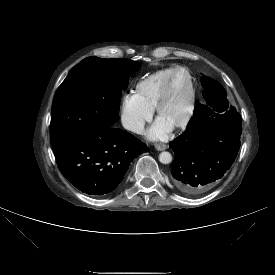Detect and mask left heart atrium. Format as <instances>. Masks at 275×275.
Returning <instances> with one entry per match:
<instances>
[{"label": "left heart atrium", "mask_w": 275, "mask_h": 275, "mask_svg": "<svg viewBox=\"0 0 275 275\" xmlns=\"http://www.w3.org/2000/svg\"><path fill=\"white\" fill-rule=\"evenodd\" d=\"M170 125L157 119L147 131V138L150 140H164L170 132Z\"/></svg>", "instance_id": "obj_1"}]
</instances>
